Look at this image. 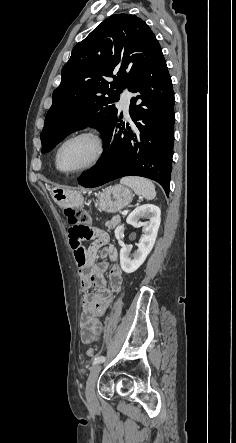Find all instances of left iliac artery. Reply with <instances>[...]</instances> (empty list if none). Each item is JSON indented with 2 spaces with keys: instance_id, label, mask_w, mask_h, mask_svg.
Listing matches in <instances>:
<instances>
[{
  "instance_id": "left-iliac-artery-1",
  "label": "left iliac artery",
  "mask_w": 236,
  "mask_h": 443,
  "mask_svg": "<svg viewBox=\"0 0 236 443\" xmlns=\"http://www.w3.org/2000/svg\"><path fill=\"white\" fill-rule=\"evenodd\" d=\"M104 361H105V357H104V356L96 357V358L94 359V361H93V365H96V364L102 363V362H104Z\"/></svg>"
}]
</instances>
